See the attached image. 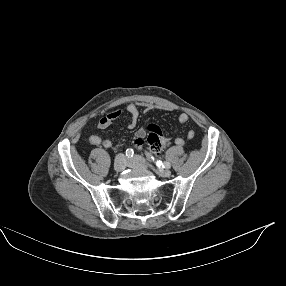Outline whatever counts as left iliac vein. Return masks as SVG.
<instances>
[{
    "label": "left iliac vein",
    "instance_id": "obj_1",
    "mask_svg": "<svg viewBox=\"0 0 286 286\" xmlns=\"http://www.w3.org/2000/svg\"><path fill=\"white\" fill-rule=\"evenodd\" d=\"M143 158L136 156L133 159L129 160L128 166L132 168H137L143 163ZM156 173L161 177H169L171 172L167 169L158 168L155 169Z\"/></svg>",
    "mask_w": 286,
    "mask_h": 286
}]
</instances>
